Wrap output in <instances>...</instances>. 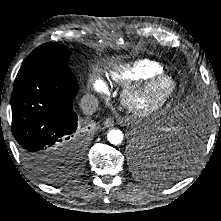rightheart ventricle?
I'll return each mask as SVG.
<instances>
[{"instance_id": "right-heart-ventricle-1", "label": "right heart ventricle", "mask_w": 221, "mask_h": 221, "mask_svg": "<svg viewBox=\"0 0 221 221\" xmlns=\"http://www.w3.org/2000/svg\"><path fill=\"white\" fill-rule=\"evenodd\" d=\"M163 72L164 68L160 63L149 59H139L112 72L111 78L120 84H131L147 80Z\"/></svg>"}]
</instances>
